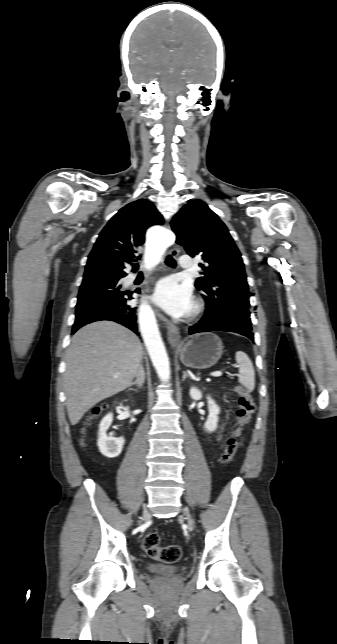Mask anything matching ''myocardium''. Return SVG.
Listing matches in <instances>:
<instances>
[{
  "instance_id": "myocardium-1",
  "label": "myocardium",
  "mask_w": 337,
  "mask_h": 644,
  "mask_svg": "<svg viewBox=\"0 0 337 644\" xmlns=\"http://www.w3.org/2000/svg\"><path fill=\"white\" fill-rule=\"evenodd\" d=\"M202 311H203V303L200 300H196L193 304L190 316L197 317L202 313Z\"/></svg>"
}]
</instances>
